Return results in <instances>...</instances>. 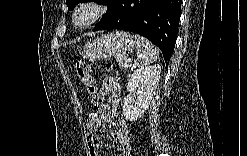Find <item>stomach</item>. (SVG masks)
I'll use <instances>...</instances> for the list:
<instances>
[{
	"mask_svg": "<svg viewBox=\"0 0 247 156\" xmlns=\"http://www.w3.org/2000/svg\"><path fill=\"white\" fill-rule=\"evenodd\" d=\"M135 47L133 36L125 31H113L88 43L83 57L89 61L106 59L115 53H125Z\"/></svg>",
	"mask_w": 247,
	"mask_h": 156,
	"instance_id": "obj_1",
	"label": "stomach"
}]
</instances>
